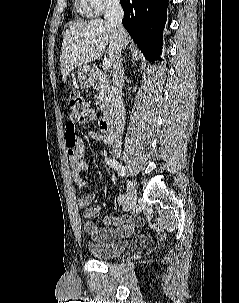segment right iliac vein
Listing matches in <instances>:
<instances>
[{
    "instance_id": "63e3f726",
    "label": "right iliac vein",
    "mask_w": 239,
    "mask_h": 303,
    "mask_svg": "<svg viewBox=\"0 0 239 303\" xmlns=\"http://www.w3.org/2000/svg\"><path fill=\"white\" fill-rule=\"evenodd\" d=\"M124 176L128 177L127 171L124 169ZM137 199V191L134 183L131 180H128L127 183V195L124 202V211H129L134 207Z\"/></svg>"
}]
</instances>
